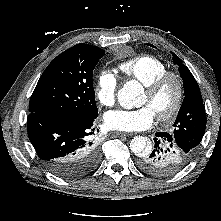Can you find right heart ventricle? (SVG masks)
Segmentation results:
<instances>
[{"mask_svg": "<svg viewBox=\"0 0 221 221\" xmlns=\"http://www.w3.org/2000/svg\"><path fill=\"white\" fill-rule=\"evenodd\" d=\"M123 76L135 79L144 86L168 71L167 65L151 55H140L119 65Z\"/></svg>", "mask_w": 221, "mask_h": 221, "instance_id": "right-heart-ventricle-1", "label": "right heart ventricle"}]
</instances>
